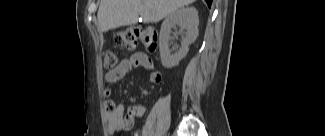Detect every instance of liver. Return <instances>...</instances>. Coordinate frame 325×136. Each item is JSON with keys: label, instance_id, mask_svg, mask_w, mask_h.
Listing matches in <instances>:
<instances>
[{"label": "liver", "instance_id": "liver-1", "mask_svg": "<svg viewBox=\"0 0 325 136\" xmlns=\"http://www.w3.org/2000/svg\"><path fill=\"white\" fill-rule=\"evenodd\" d=\"M195 0H101L97 13L102 32L138 22L156 23Z\"/></svg>", "mask_w": 325, "mask_h": 136}]
</instances>
